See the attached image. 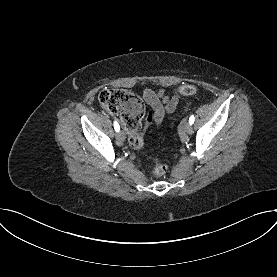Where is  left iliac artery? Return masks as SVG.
<instances>
[{"label":"left iliac artery","mask_w":277,"mask_h":277,"mask_svg":"<svg viewBox=\"0 0 277 277\" xmlns=\"http://www.w3.org/2000/svg\"><path fill=\"white\" fill-rule=\"evenodd\" d=\"M194 119H195L194 116L191 115L190 118H189V123H190V124H193V123H194Z\"/></svg>","instance_id":"44dca946"}]
</instances>
